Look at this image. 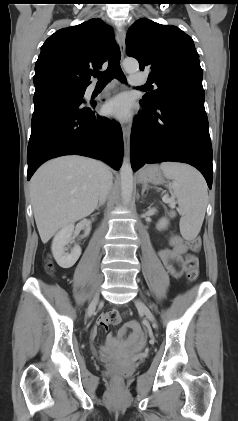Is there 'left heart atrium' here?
Segmentation results:
<instances>
[{
  "mask_svg": "<svg viewBox=\"0 0 238 421\" xmlns=\"http://www.w3.org/2000/svg\"><path fill=\"white\" fill-rule=\"evenodd\" d=\"M104 112L115 119L125 120L130 116V102L125 95H118L104 105Z\"/></svg>",
  "mask_w": 238,
  "mask_h": 421,
  "instance_id": "1",
  "label": "left heart atrium"
}]
</instances>
